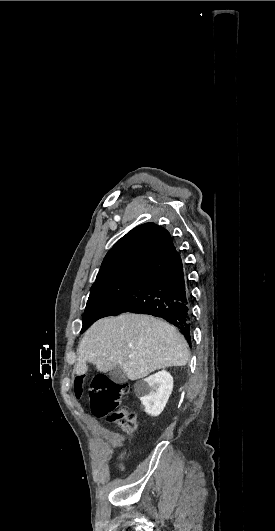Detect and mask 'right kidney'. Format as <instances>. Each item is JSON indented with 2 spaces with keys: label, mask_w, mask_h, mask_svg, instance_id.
<instances>
[{
  "label": "right kidney",
  "mask_w": 275,
  "mask_h": 531,
  "mask_svg": "<svg viewBox=\"0 0 275 531\" xmlns=\"http://www.w3.org/2000/svg\"><path fill=\"white\" fill-rule=\"evenodd\" d=\"M135 395L145 407V413L158 417L164 411L166 403L173 391V377L167 371H159L147 379L137 381L134 385Z\"/></svg>",
  "instance_id": "obj_1"
}]
</instances>
